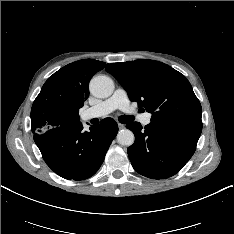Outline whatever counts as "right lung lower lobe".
I'll return each mask as SVG.
<instances>
[{"mask_svg": "<svg viewBox=\"0 0 234 234\" xmlns=\"http://www.w3.org/2000/svg\"><path fill=\"white\" fill-rule=\"evenodd\" d=\"M118 125L105 118L83 131L80 123L34 133V141L47 165L65 179L83 180L94 175L117 135Z\"/></svg>", "mask_w": 234, "mask_h": 234, "instance_id": "obj_1", "label": "right lung lower lobe"}]
</instances>
